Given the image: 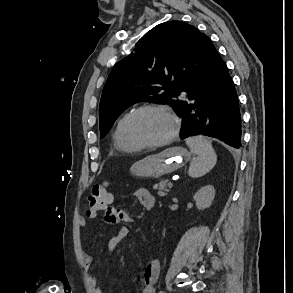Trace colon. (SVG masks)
Instances as JSON below:
<instances>
[{"label":"colon","mask_w":293,"mask_h":293,"mask_svg":"<svg viewBox=\"0 0 293 293\" xmlns=\"http://www.w3.org/2000/svg\"><path fill=\"white\" fill-rule=\"evenodd\" d=\"M111 200L112 197L107 182L95 185L88 197L87 213L89 215H96L100 212H105L109 208Z\"/></svg>","instance_id":"1"}]
</instances>
